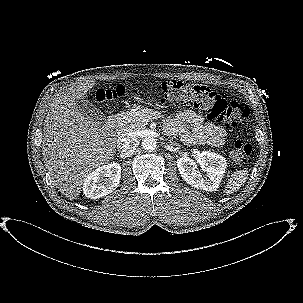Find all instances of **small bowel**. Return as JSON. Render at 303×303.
<instances>
[{"label":"small bowel","instance_id":"c3829d8e","mask_svg":"<svg viewBox=\"0 0 303 303\" xmlns=\"http://www.w3.org/2000/svg\"><path fill=\"white\" fill-rule=\"evenodd\" d=\"M166 131L178 134L187 144L223 145L226 131L217 125L207 123L204 118L191 109H182L166 123Z\"/></svg>","mask_w":303,"mask_h":303}]
</instances>
